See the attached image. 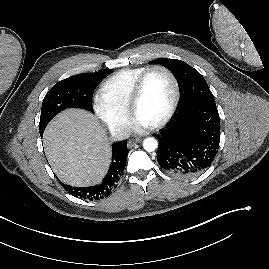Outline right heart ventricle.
Instances as JSON below:
<instances>
[{"instance_id":"obj_1","label":"right heart ventricle","mask_w":269,"mask_h":269,"mask_svg":"<svg viewBox=\"0 0 269 269\" xmlns=\"http://www.w3.org/2000/svg\"><path fill=\"white\" fill-rule=\"evenodd\" d=\"M147 68V66H139L115 72L102 84L101 96L116 108L128 112L135 83Z\"/></svg>"}]
</instances>
